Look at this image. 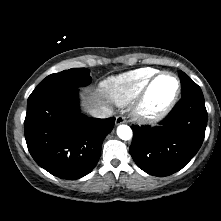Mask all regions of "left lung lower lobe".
Segmentation results:
<instances>
[{
  "instance_id": "left-lung-lower-lobe-1",
  "label": "left lung lower lobe",
  "mask_w": 221,
  "mask_h": 221,
  "mask_svg": "<svg viewBox=\"0 0 221 221\" xmlns=\"http://www.w3.org/2000/svg\"><path fill=\"white\" fill-rule=\"evenodd\" d=\"M206 125L204 97H182L159 126H133L130 154L146 173L171 175L186 166L198 152Z\"/></svg>"
}]
</instances>
